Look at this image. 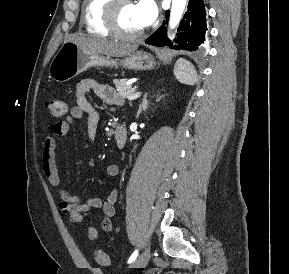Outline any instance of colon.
Wrapping results in <instances>:
<instances>
[{
    "instance_id": "5ec220e1",
    "label": "colon",
    "mask_w": 289,
    "mask_h": 274,
    "mask_svg": "<svg viewBox=\"0 0 289 274\" xmlns=\"http://www.w3.org/2000/svg\"><path fill=\"white\" fill-rule=\"evenodd\" d=\"M45 106L49 111L50 115L54 118L63 117L68 110L67 103L60 99L48 100L46 101ZM94 260L99 266L102 267H105L109 264L108 255L101 250H96L94 252Z\"/></svg>"
}]
</instances>
